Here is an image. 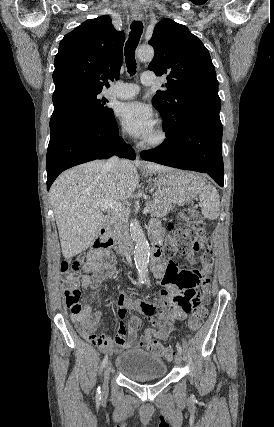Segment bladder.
<instances>
[{
	"label": "bladder",
	"mask_w": 274,
	"mask_h": 427,
	"mask_svg": "<svg viewBox=\"0 0 274 427\" xmlns=\"http://www.w3.org/2000/svg\"><path fill=\"white\" fill-rule=\"evenodd\" d=\"M114 366L117 373L131 379L165 377L168 371L165 359L144 349H131L117 355Z\"/></svg>",
	"instance_id": "31cf9c89"
}]
</instances>
